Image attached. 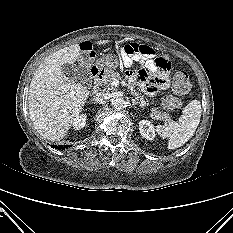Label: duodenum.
<instances>
[{"label": "duodenum", "mask_w": 233, "mask_h": 233, "mask_svg": "<svg viewBox=\"0 0 233 233\" xmlns=\"http://www.w3.org/2000/svg\"><path fill=\"white\" fill-rule=\"evenodd\" d=\"M91 76L94 80L95 83V88L96 86L100 83V81L103 79L104 73L102 70H100L98 67H92L91 68Z\"/></svg>", "instance_id": "410a0bca"}]
</instances>
